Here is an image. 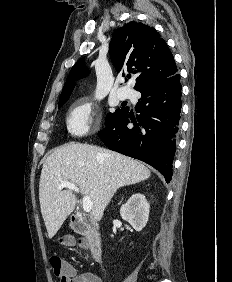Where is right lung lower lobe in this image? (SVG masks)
Returning a JSON list of instances; mask_svg holds the SVG:
<instances>
[{
    "label": "right lung lower lobe",
    "mask_w": 232,
    "mask_h": 282,
    "mask_svg": "<svg viewBox=\"0 0 232 282\" xmlns=\"http://www.w3.org/2000/svg\"><path fill=\"white\" fill-rule=\"evenodd\" d=\"M137 91L142 94L137 121L127 107L98 135L109 149L148 163L170 182L182 107L180 75L148 82ZM130 122L133 128L127 127Z\"/></svg>",
    "instance_id": "obj_1"
}]
</instances>
